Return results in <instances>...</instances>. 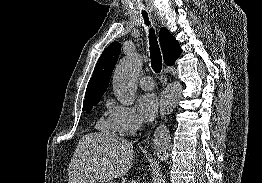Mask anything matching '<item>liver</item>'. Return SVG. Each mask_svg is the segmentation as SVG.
<instances>
[{
	"instance_id": "liver-1",
	"label": "liver",
	"mask_w": 262,
	"mask_h": 183,
	"mask_svg": "<svg viewBox=\"0 0 262 183\" xmlns=\"http://www.w3.org/2000/svg\"><path fill=\"white\" fill-rule=\"evenodd\" d=\"M133 143L106 133L79 140L68 167V183H107L132 167Z\"/></svg>"
}]
</instances>
